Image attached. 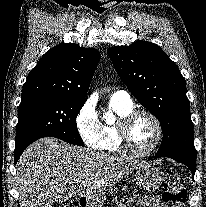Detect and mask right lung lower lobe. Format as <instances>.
I'll return each instance as SVG.
<instances>
[{"label":"right lung lower lobe","instance_id":"98d812e1","mask_svg":"<svg viewBox=\"0 0 206 207\" xmlns=\"http://www.w3.org/2000/svg\"><path fill=\"white\" fill-rule=\"evenodd\" d=\"M25 148L22 149H18V150H14V159H15V163L18 161L20 155L22 154V152L24 151Z\"/></svg>","mask_w":206,"mask_h":207}]
</instances>
